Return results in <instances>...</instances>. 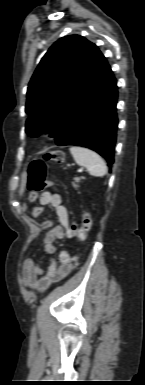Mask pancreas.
Returning a JSON list of instances; mask_svg holds the SVG:
<instances>
[{
	"mask_svg": "<svg viewBox=\"0 0 145 385\" xmlns=\"http://www.w3.org/2000/svg\"><path fill=\"white\" fill-rule=\"evenodd\" d=\"M74 180H75V182L72 185H73L74 188H77L78 187L77 183L81 180V178L76 177V178H74Z\"/></svg>",
	"mask_w": 145,
	"mask_h": 385,
	"instance_id": "cf45deb5",
	"label": "pancreas"
}]
</instances>
